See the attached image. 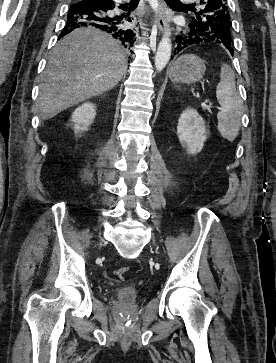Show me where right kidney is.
<instances>
[{
    "label": "right kidney",
    "mask_w": 276,
    "mask_h": 363,
    "mask_svg": "<svg viewBox=\"0 0 276 363\" xmlns=\"http://www.w3.org/2000/svg\"><path fill=\"white\" fill-rule=\"evenodd\" d=\"M96 116V106L93 103H84L72 114L75 133L87 131Z\"/></svg>",
    "instance_id": "obj_1"
}]
</instances>
